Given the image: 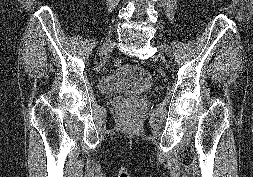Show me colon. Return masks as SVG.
<instances>
[{"mask_svg": "<svg viewBox=\"0 0 253 177\" xmlns=\"http://www.w3.org/2000/svg\"><path fill=\"white\" fill-rule=\"evenodd\" d=\"M113 65L115 67H120L122 65V61L119 58L113 60Z\"/></svg>", "mask_w": 253, "mask_h": 177, "instance_id": "colon-1", "label": "colon"}]
</instances>
